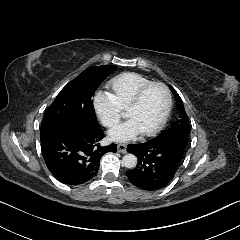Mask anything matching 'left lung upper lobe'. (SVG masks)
I'll return each instance as SVG.
<instances>
[{"label": "left lung upper lobe", "instance_id": "1", "mask_svg": "<svg viewBox=\"0 0 240 240\" xmlns=\"http://www.w3.org/2000/svg\"><path fill=\"white\" fill-rule=\"evenodd\" d=\"M171 90L174 94V97L177 102V109L179 111V118L174 122L171 127L167 130L162 131L156 138H178L184 141H188L189 135V119L185 112V108L182 102V99L178 93L171 87ZM154 138V139H156Z\"/></svg>", "mask_w": 240, "mask_h": 240}]
</instances>
